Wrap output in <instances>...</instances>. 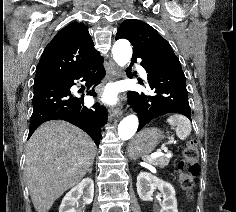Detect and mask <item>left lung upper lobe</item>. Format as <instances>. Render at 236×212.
Segmentation results:
<instances>
[{
    "label": "left lung upper lobe",
    "instance_id": "1",
    "mask_svg": "<svg viewBox=\"0 0 236 212\" xmlns=\"http://www.w3.org/2000/svg\"><path fill=\"white\" fill-rule=\"evenodd\" d=\"M125 38L133 45V57L143 61L177 59L170 44L150 25L136 19H127L116 34V40Z\"/></svg>",
    "mask_w": 236,
    "mask_h": 212
}]
</instances>
